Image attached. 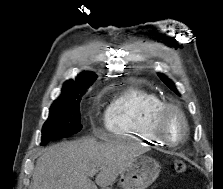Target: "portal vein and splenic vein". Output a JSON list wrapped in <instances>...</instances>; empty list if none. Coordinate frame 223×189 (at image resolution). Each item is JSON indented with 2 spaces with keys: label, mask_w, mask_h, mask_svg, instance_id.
Segmentation results:
<instances>
[{
  "label": "portal vein and splenic vein",
  "mask_w": 223,
  "mask_h": 189,
  "mask_svg": "<svg viewBox=\"0 0 223 189\" xmlns=\"http://www.w3.org/2000/svg\"><path fill=\"white\" fill-rule=\"evenodd\" d=\"M96 172H97V170H92V171L90 172V176H93Z\"/></svg>",
  "instance_id": "portal-vein-and-splenic-vein-1"
}]
</instances>
